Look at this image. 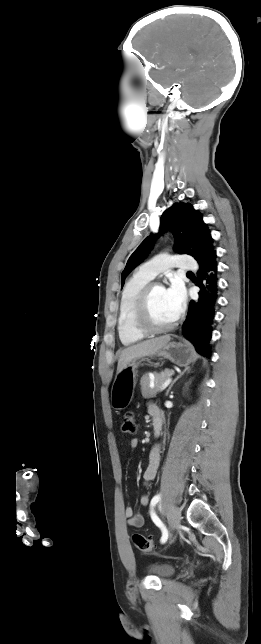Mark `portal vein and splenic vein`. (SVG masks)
Here are the masks:
<instances>
[{
  "mask_svg": "<svg viewBox=\"0 0 261 644\" xmlns=\"http://www.w3.org/2000/svg\"><path fill=\"white\" fill-rule=\"evenodd\" d=\"M171 380H172L171 378L166 379L163 385L161 386L160 391L164 390L170 384Z\"/></svg>",
  "mask_w": 261,
  "mask_h": 644,
  "instance_id": "1",
  "label": "portal vein and splenic vein"
}]
</instances>
